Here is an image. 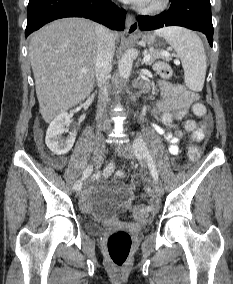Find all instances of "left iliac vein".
Masks as SVG:
<instances>
[{
    "instance_id": "left-iliac-vein-1",
    "label": "left iliac vein",
    "mask_w": 233,
    "mask_h": 284,
    "mask_svg": "<svg viewBox=\"0 0 233 284\" xmlns=\"http://www.w3.org/2000/svg\"><path fill=\"white\" fill-rule=\"evenodd\" d=\"M115 149L119 154L123 155L128 159H135L136 157L135 148L129 143L117 145ZM152 191L157 196H161L163 194V186L158 180L153 181Z\"/></svg>"
}]
</instances>
